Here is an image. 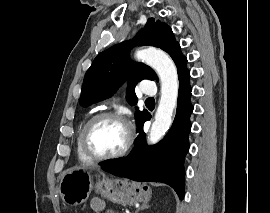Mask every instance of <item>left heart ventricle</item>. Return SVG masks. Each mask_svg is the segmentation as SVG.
Segmentation results:
<instances>
[{
	"mask_svg": "<svg viewBox=\"0 0 270 213\" xmlns=\"http://www.w3.org/2000/svg\"><path fill=\"white\" fill-rule=\"evenodd\" d=\"M127 139L126 126L115 119L99 121L89 134V147L98 155H109L121 150Z\"/></svg>",
	"mask_w": 270,
	"mask_h": 213,
	"instance_id": "left-heart-ventricle-1",
	"label": "left heart ventricle"
}]
</instances>
